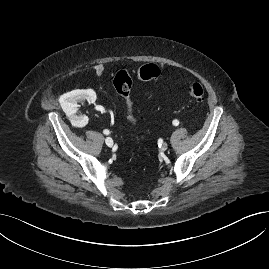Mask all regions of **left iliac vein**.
<instances>
[{"mask_svg":"<svg viewBox=\"0 0 269 269\" xmlns=\"http://www.w3.org/2000/svg\"><path fill=\"white\" fill-rule=\"evenodd\" d=\"M167 148H168V144L167 143H163L161 145V150L165 151V150H167Z\"/></svg>","mask_w":269,"mask_h":269,"instance_id":"4c4485c4","label":"left iliac vein"}]
</instances>
